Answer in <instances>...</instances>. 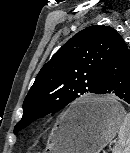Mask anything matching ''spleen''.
<instances>
[{
    "label": "spleen",
    "mask_w": 130,
    "mask_h": 153,
    "mask_svg": "<svg viewBox=\"0 0 130 153\" xmlns=\"http://www.w3.org/2000/svg\"><path fill=\"white\" fill-rule=\"evenodd\" d=\"M113 153H130V113L125 114L118 131V142Z\"/></svg>",
    "instance_id": "1"
}]
</instances>
